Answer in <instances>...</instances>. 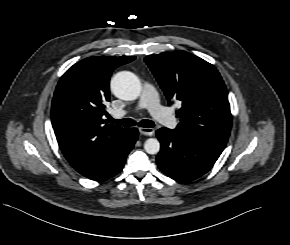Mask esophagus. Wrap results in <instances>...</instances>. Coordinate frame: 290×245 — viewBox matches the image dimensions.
Here are the masks:
<instances>
[{
	"mask_svg": "<svg viewBox=\"0 0 290 245\" xmlns=\"http://www.w3.org/2000/svg\"><path fill=\"white\" fill-rule=\"evenodd\" d=\"M139 132L142 135H146V136H153L155 134V130L153 128H143V127H140L139 128Z\"/></svg>",
	"mask_w": 290,
	"mask_h": 245,
	"instance_id": "esophagus-1",
	"label": "esophagus"
}]
</instances>
